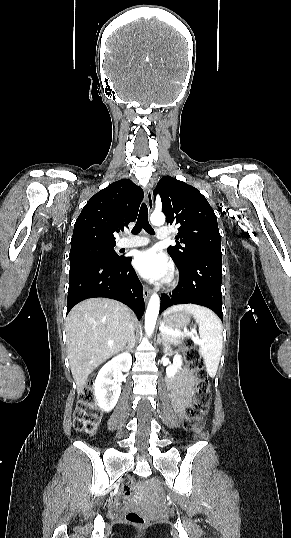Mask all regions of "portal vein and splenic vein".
<instances>
[{"label":"portal vein and splenic vein","mask_w":291,"mask_h":538,"mask_svg":"<svg viewBox=\"0 0 291 538\" xmlns=\"http://www.w3.org/2000/svg\"><path fill=\"white\" fill-rule=\"evenodd\" d=\"M162 331L167 332L168 334H171V335H181V334H183L180 331H172V330H168V329H165V328H163ZM193 333H194V331L186 332L185 335L190 336L193 339L194 343H196L198 345H203L202 341L197 336L195 337Z\"/></svg>","instance_id":"obj_1"}]
</instances>
